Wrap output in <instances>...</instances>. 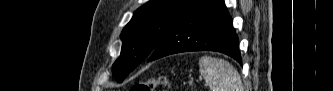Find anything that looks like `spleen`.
Returning a JSON list of instances; mask_svg holds the SVG:
<instances>
[{"label": "spleen", "instance_id": "spleen-1", "mask_svg": "<svg viewBox=\"0 0 333 91\" xmlns=\"http://www.w3.org/2000/svg\"><path fill=\"white\" fill-rule=\"evenodd\" d=\"M199 72L211 91H243L238 71L224 59L202 56Z\"/></svg>", "mask_w": 333, "mask_h": 91}]
</instances>
